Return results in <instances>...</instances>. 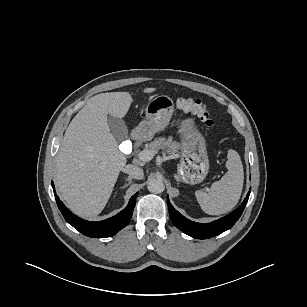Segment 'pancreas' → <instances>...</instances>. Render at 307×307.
Returning a JSON list of instances; mask_svg holds the SVG:
<instances>
[{"label": "pancreas", "mask_w": 307, "mask_h": 307, "mask_svg": "<svg viewBox=\"0 0 307 307\" xmlns=\"http://www.w3.org/2000/svg\"><path fill=\"white\" fill-rule=\"evenodd\" d=\"M148 149L157 153L160 149L172 156H178L179 144L173 141L172 137L168 139L156 138L153 142L148 144Z\"/></svg>", "instance_id": "1"}]
</instances>
